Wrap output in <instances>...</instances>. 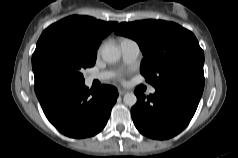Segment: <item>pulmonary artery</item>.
Masks as SVG:
<instances>
[{
    "label": "pulmonary artery",
    "instance_id": "obj_1",
    "mask_svg": "<svg viewBox=\"0 0 238 158\" xmlns=\"http://www.w3.org/2000/svg\"><path fill=\"white\" fill-rule=\"evenodd\" d=\"M120 50L122 53L123 61L126 64H131L135 62L140 52L138 44L134 40L128 38L122 39L120 41ZM112 76H113L112 72L92 74L88 77V81L92 82L93 80H107ZM148 93L154 94L155 88L154 87L149 88Z\"/></svg>",
    "mask_w": 238,
    "mask_h": 158
}]
</instances>
